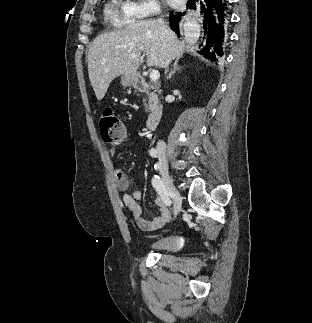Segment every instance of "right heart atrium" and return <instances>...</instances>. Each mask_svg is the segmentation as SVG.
Masks as SVG:
<instances>
[{
  "label": "right heart atrium",
  "instance_id": "1",
  "mask_svg": "<svg viewBox=\"0 0 312 323\" xmlns=\"http://www.w3.org/2000/svg\"><path fill=\"white\" fill-rule=\"evenodd\" d=\"M162 7V2L156 0H128L124 2L120 15L130 17V22H145L147 17H156V13H162Z\"/></svg>",
  "mask_w": 312,
  "mask_h": 323
}]
</instances>
